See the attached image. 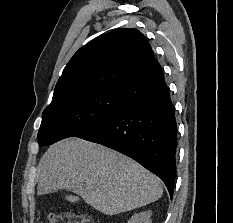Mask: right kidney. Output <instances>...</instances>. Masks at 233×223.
<instances>
[{
  "label": "right kidney",
  "mask_w": 233,
  "mask_h": 223,
  "mask_svg": "<svg viewBox=\"0 0 233 223\" xmlns=\"http://www.w3.org/2000/svg\"><path fill=\"white\" fill-rule=\"evenodd\" d=\"M151 213V209L141 211V213H134L128 223H152V219H150Z\"/></svg>",
  "instance_id": "ca27d5eb"
}]
</instances>
